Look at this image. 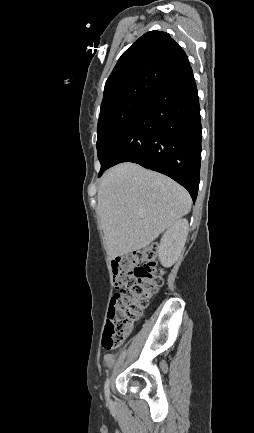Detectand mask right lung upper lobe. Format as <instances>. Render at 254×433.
I'll return each instance as SVG.
<instances>
[{"label":"right lung upper lobe","mask_w":254,"mask_h":433,"mask_svg":"<svg viewBox=\"0 0 254 433\" xmlns=\"http://www.w3.org/2000/svg\"><path fill=\"white\" fill-rule=\"evenodd\" d=\"M188 66L187 55L168 33L147 32L119 58L105 83L101 108L126 99H150Z\"/></svg>","instance_id":"obj_1"}]
</instances>
